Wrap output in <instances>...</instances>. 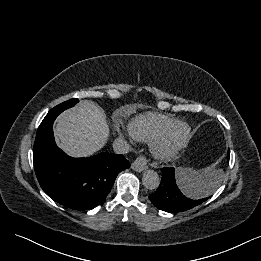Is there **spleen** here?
I'll list each match as a JSON object with an SVG mask.
<instances>
[{
    "label": "spleen",
    "mask_w": 261,
    "mask_h": 261,
    "mask_svg": "<svg viewBox=\"0 0 261 261\" xmlns=\"http://www.w3.org/2000/svg\"><path fill=\"white\" fill-rule=\"evenodd\" d=\"M190 181L199 186L197 194H190L191 197L199 199L201 197L212 194L219 185V179L216 174L211 173L209 170L204 172H191Z\"/></svg>",
    "instance_id": "1"
}]
</instances>
